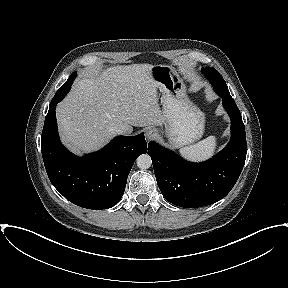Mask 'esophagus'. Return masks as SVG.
Listing matches in <instances>:
<instances>
[{
    "label": "esophagus",
    "instance_id": "1",
    "mask_svg": "<svg viewBox=\"0 0 288 288\" xmlns=\"http://www.w3.org/2000/svg\"><path fill=\"white\" fill-rule=\"evenodd\" d=\"M156 135L155 131L153 129H148L145 132V137L147 141H150L154 136Z\"/></svg>",
    "mask_w": 288,
    "mask_h": 288
}]
</instances>
